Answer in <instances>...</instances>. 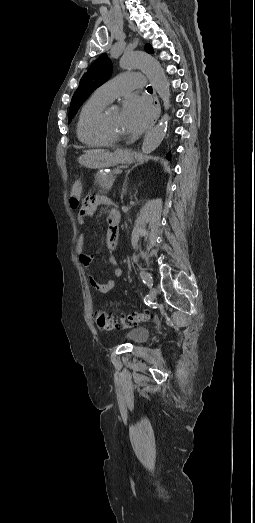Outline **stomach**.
Listing matches in <instances>:
<instances>
[{"label": "stomach", "instance_id": "obj_1", "mask_svg": "<svg viewBox=\"0 0 255 523\" xmlns=\"http://www.w3.org/2000/svg\"><path fill=\"white\" fill-rule=\"evenodd\" d=\"M133 160V154L130 150H116L114 154L100 155L98 151H88L86 156L79 158L80 164L86 168H96V170H106L117 164H130Z\"/></svg>", "mask_w": 255, "mask_h": 523}]
</instances>
